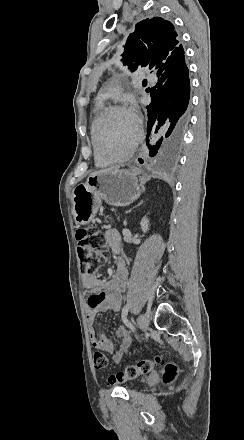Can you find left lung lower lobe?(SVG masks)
Masks as SVG:
<instances>
[{"label": "left lung lower lobe", "mask_w": 244, "mask_h": 440, "mask_svg": "<svg viewBox=\"0 0 244 440\" xmlns=\"http://www.w3.org/2000/svg\"><path fill=\"white\" fill-rule=\"evenodd\" d=\"M157 76L158 82L152 89L151 103L147 106V131L157 133L164 126L166 134L149 149L150 156H155L159 149L162 155L168 156L182 146L190 120L187 110L190 82L185 57L180 62L160 67Z\"/></svg>", "instance_id": "left-lung-lower-lobe-1"}]
</instances>
